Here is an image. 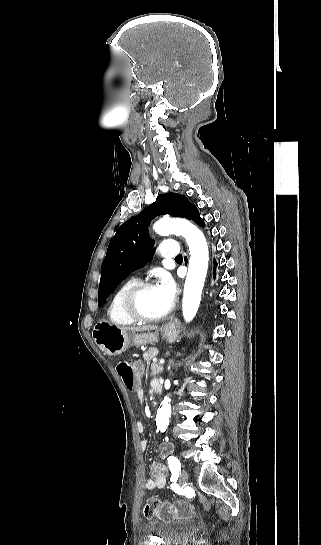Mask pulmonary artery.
<instances>
[{"mask_svg": "<svg viewBox=\"0 0 321 545\" xmlns=\"http://www.w3.org/2000/svg\"><path fill=\"white\" fill-rule=\"evenodd\" d=\"M158 249L161 250V259L163 261H172L174 257H178L179 243L177 241H162L158 244Z\"/></svg>", "mask_w": 321, "mask_h": 545, "instance_id": "1", "label": "pulmonary artery"}]
</instances>
